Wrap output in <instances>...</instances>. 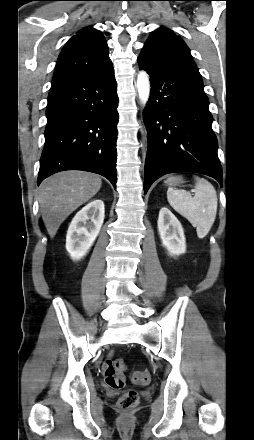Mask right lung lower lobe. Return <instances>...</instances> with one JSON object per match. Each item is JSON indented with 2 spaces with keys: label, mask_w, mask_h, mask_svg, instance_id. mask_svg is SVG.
Returning <instances> with one entry per match:
<instances>
[{
  "label": "right lung lower lobe",
  "mask_w": 254,
  "mask_h": 440,
  "mask_svg": "<svg viewBox=\"0 0 254 440\" xmlns=\"http://www.w3.org/2000/svg\"><path fill=\"white\" fill-rule=\"evenodd\" d=\"M117 83L107 68L52 85L38 184L64 170L106 177L116 187Z\"/></svg>",
  "instance_id": "98d812e1"
}]
</instances>
